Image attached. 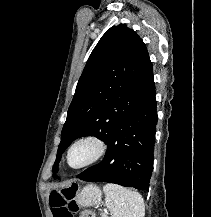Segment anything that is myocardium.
Segmentation results:
<instances>
[{"label":"myocardium","mask_w":211,"mask_h":217,"mask_svg":"<svg viewBox=\"0 0 211 217\" xmlns=\"http://www.w3.org/2000/svg\"><path fill=\"white\" fill-rule=\"evenodd\" d=\"M81 143H92L96 148L95 153L85 163L79 166H73L70 163L71 151L73 150L75 146ZM107 150H108V144L104 138H102L101 136L97 134H85V135L78 137L70 144V146L68 147L67 153H66V162L68 166L72 169H75V170L84 169V168L90 167L96 164L97 162H99L106 155Z\"/></svg>","instance_id":"obj_1"}]
</instances>
